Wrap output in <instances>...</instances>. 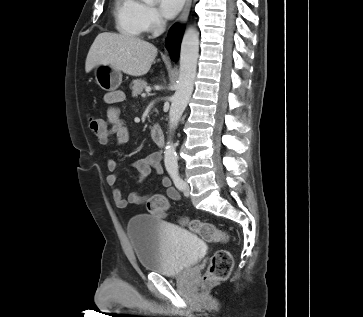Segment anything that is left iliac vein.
I'll list each match as a JSON object with an SVG mask.
<instances>
[{"label": "left iliac vein", "mask_w": 363, "mask_h": 317, "mask_svg": "<svg viewBox=\"0 0 363 317\" xmlns=\"http://www.w3.org/2000/svg\"><path fill=\"white\" fill-rule=\"evenodd\" d=\"M183 192H184L185 196H189L190 187H189V184L187 182H184Z\"/></svg>", "instance_id": "4c4485c4"}]
</instances>
